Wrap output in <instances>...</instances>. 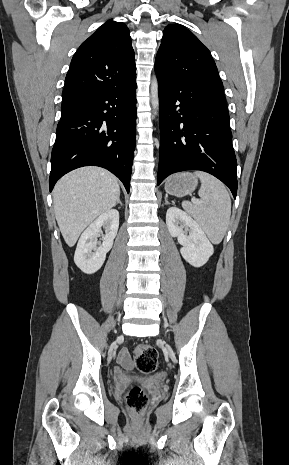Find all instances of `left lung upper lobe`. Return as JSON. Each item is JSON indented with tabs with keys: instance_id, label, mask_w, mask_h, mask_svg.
Returning <instances> with one entry per match:
<instances>
[{
	"instance_id": "1",
	"label": "left lung upper lobe",
	"mask_w": 289,
	"mask_h": 465,
	"mask_svg": "<svg viewBox=\"0 0 289 465\" xmlns=\"http://www.w3.org/2000/svg\"><path fill=\"white\" fill-rule=\"evenodd\" d=\"M155 71L169 81L202 85L223 92V83L210 51L181 25L170 24L164 29Z\"/></svg>"
}]
</instances>
